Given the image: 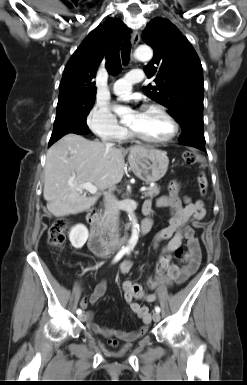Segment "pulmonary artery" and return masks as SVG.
Segmentation results:
<instances>
[{"label":"pulmonary artery","mask_w":247,"mask_h":385,"mask_svg":"<svg viewBox=\"0 0 247 385\" xmlns=\"http://www.w3.org/2000/svg\"><path fill=\"white\" fill-rule=\"evenodd\" d=\"M143 78V72L138 69L129 71L125 77L118 79L113 85V91L118 96L130 94L132 85L139 83Z\"/></svg>","instance_id":"e3ab8cb5"}]
</instances>
